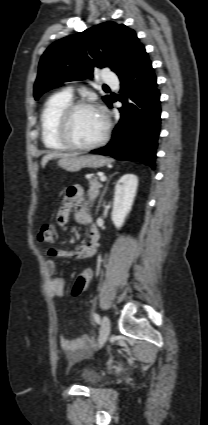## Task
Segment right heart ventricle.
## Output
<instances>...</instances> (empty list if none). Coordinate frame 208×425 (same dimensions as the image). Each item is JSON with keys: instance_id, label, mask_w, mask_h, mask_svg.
<instances>
[{"instance_id": "obj_1", "label": "right heart ventricle", "mask_w": 208, "mask_h": 425, "mask_svg": "<svg viewBox=\"0 0 208 425\" xmlns=\"http://www.w3.org/2000/svg\"><path fill=\"white\" fill-rule=\"evenodd\" d=\"M72 103V98L65 92L52 95L45 103L41 116V137L44 146L53 151H64L69 149L58 138V121L62 111Z\"/></svg>"}]
</instances>
